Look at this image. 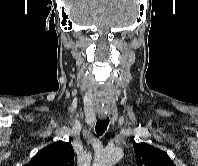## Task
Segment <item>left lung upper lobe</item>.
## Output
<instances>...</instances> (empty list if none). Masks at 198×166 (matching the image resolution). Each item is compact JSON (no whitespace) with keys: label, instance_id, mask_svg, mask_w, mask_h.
I'll use <instances>...</instances> for the list:
<instances>
[{"label":"left lung upper lobe","instance_id":"1","mask_svg":"<svg viewBox=\"0 0 198 166\" xmlns=\"http://www.w3.org/2000/svg\"><path fill=\"white\" fill-rule=\"evenodd\" d=\"M137 155V166H175L164 151L147 143L133 144Z\"/></svg>","mask_w":198,"mask_h":166}]
</instances>
